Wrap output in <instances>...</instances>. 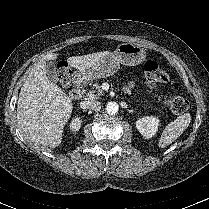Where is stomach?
<instances>
[{"instance_id":"stomach-1","label":"stomach","mask_w":209,"mask_h":209,"mask_svg":"<svg viewBox=\"0 0 209 209\" xmlns=\"http://www.w3.org/2000/svg\"><path fill=\"white\" fill-rule=\"evenodd\" d=\"M146 58V49L140 44L123 43L115 52L101 58L95 65L79 71L78 77L82 81H91L95 78H104L114 74L120 64L135 66L142 63Z\"/></svg>"}]
</instances>
